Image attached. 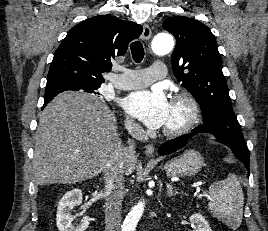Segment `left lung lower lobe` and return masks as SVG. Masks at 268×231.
Wrapping results in <instances>:
<instances>
[{"mask_svg": "<svg viewBox=\"0 0 268 231\" xmlns=\"http://www.w3.org/2000/svg\"><path fill=\"white\" fill-rule=\"evenodd\" d=\"M196 133L193 134H185L180 137H177L173 140L167 141L163 143L159 149L158 152L160 155H166V154H171L178 149L184 147L186 145V142L194 136ZM228 147H230L235 154L236 158L239 159L249 170V153L246 149H243L235 144L232 143H224Z\"/></svg>", "mask_w": 268, "mask_h": 231, "instance_id": "obj_1", "label": "left lung lower lobe"}]
</instances>
